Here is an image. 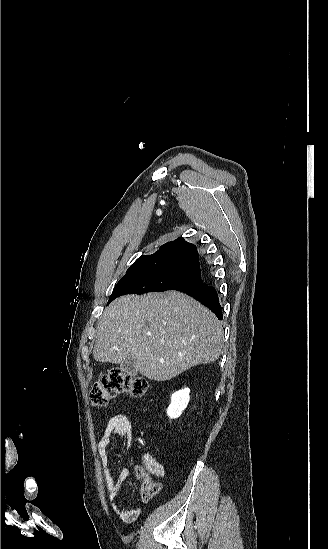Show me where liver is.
<instances>
[{
	"label": "liver",
	"mask_w": 328,
	"mask_h": 549,
	"mask_svg": "<svg viewBox=\"0 0 328 549\" xmlns=\"http://www.w3.org/2000/svg\"><path fill=\"white\" fill-rule=\"evenodd\" d=\"M223 337L214 313L188 295H126L103 311L93 357L119 365L133 355L140 375L169 381L190 367L217 361Z\"/></svg>",
	"instance_id": "1"
}]
</instances>
